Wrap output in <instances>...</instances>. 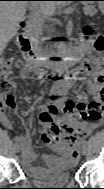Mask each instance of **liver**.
Returning <instances> with one entry per match:
<instances>
[{
    "mask_svg": "<svg viewBox=\"0 0 104 189\" xmlns=\"http://www.w3.org/2000/svg\"><path fill=\"white\" fill-rule=\"evenodd\" d=\"M28 3L31 5H39L44 11L52 10L54 4L59 2H27V1H1L0 4V47L3 50L7 43L15 36L19 28Z\"/></svg>",
    "mask_w": 104,
    "mask_h": 189,
    "instance_id": "obj_1",
    "label": "liver"
}]
</instances>
